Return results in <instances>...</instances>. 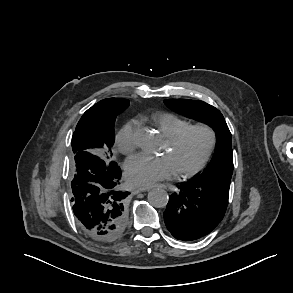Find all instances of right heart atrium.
<instances>
[{"instance_id": "1", "label": "right heart atrium", "mask_w": 293, "mask_h": 293, "mask_svg": "<svg viewBox=\"0 0 293 293\" xmlns=\"http://www.w3.org/2000/svg\"><path fill=\"white\" fill-rule=\"evenodd\" d=\"M138 122L136 120H130L126 122L115 137V145L118 151L124 155L131 154L136 149V129Z\"/></svg>"}]
</instances>
